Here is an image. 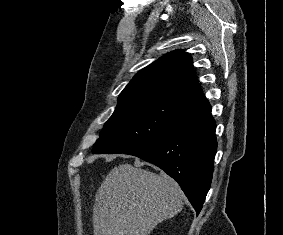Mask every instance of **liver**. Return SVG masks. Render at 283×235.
<instances>
[{"instance_id":"liver-1","label":"liver","mask_w":283,"mask_h":235,"mask_svg":"<svg viewBox=\"0 0 283 235\" xmlns=\"http://www.w3.org/2000/svg\"><path fill=\"white\" fill-rule=\"evenodd\" d=\"M141 165L121 164L108 173L95 198L94 235H149L182 210L178 183Z\"/></svg>"}]
</instances>
